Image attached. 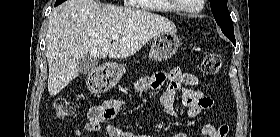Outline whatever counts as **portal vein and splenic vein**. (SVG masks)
<instances>
[{"instance_id":"portal-vein-and-splenic-vein-1","label":"portal vein and splenic vein","mask_w":280,"mask_h":137,"mask_svg":"<svg viewBox=\"0 0 280 137\" xmlns=\"http://www.w3.org/2000/svg\"><path fill=\"white\" fill-rule=\"evenodd\" d=\"M112 39H113V40H118V39H119V35H113V36H112Z\"/></svg>"}]
</instances>
